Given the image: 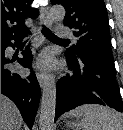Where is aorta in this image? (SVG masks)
<instances>
[{
	"mask_svg": "<svg viewBox=\"0 0 123 130\" xmlns=\"http://www.w3.org/2000/svg\"><path fill=\"white\" fill-rule=\"evenodd\" d=\"M49 17L54 22H60L65 17V9L61 5L51 7ZM56 108V81L52 73L45 77L39 116V130H52Z\"/></svg>",
	"mask_w": 123,
	"mask_h": 130,
	"instance_id": "1",
	"label": "aorta"
}]
</instances>
